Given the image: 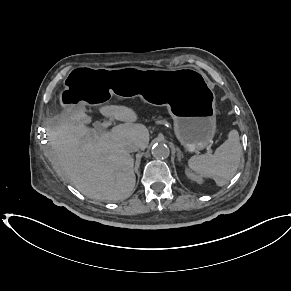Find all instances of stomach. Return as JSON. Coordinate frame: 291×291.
<instances>
[{
	"mask_svg": "<svg viewBox=\"0 0 291 291\" xmlns=\"http://www.w3.org/2000/svg\"><path fill=\"white\" fill-rule=\"evenodd\" d=\"M60 95L64 109L108 100L110 95H138L166 104L175 119L174 132L189 152L204 149L216 133L215 95L206 76L192 68L114 70L84 65L72 70Z\"/></svg>",
	"mask_w": 291,
	"mask_h": 291,
	"instance_id": "0dacf381",
	"label": "stomach"
}]
</instances>
